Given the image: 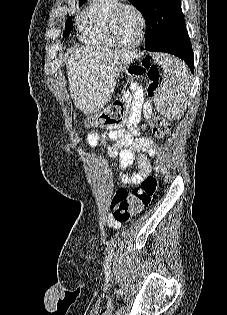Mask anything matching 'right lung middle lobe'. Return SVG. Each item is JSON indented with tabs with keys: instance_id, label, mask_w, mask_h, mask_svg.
<instances>
[{
	"instance_id": "1",
	"label": "right lung middle lobe",
	"mask_w": 227,
	"mask_h": 315,
	"mask_svg": "<svg viewBox=\"0 0 227 315\" xmlns=\"http://www.w3.org/2000/svg\"><path fill=\"white\" fill-rule=\"evenodd\" d=\"M84 2V0L83 1H80V5H82V3ZM71 21H72V18H69L68 20H67V22H66V29H65V31H64V37H66L67 35H69V33L71 32V28H72V26H71Z\"/></svg>"
}]
</instances>
